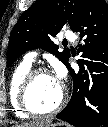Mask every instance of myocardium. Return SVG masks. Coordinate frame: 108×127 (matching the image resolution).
I'll use <instances>...</instances> for the list:
<instances>
[{
    "instance_id": "f54148a6",
    "label": "myocardium",
    "mask_w": 108,
    "mask_h": 127,
    "mask_svg": "<svg viewBox=\"0 0 108 127\" xmlns=\"http://www.w3.org/2000/svg\"><path fill=\"white\" fill-rule=\"evenodd\" d=\"M40 74H50V71L45 67H37L31 69L22 80L19 93L18 100L20 107L29 115L33 116H49L59 112L67 101V89L62 86V92L59 101L57 104L48 111H40L36 109L30 101V92L33 85L34 80Z\"/></svg>"
}]
</instances>
